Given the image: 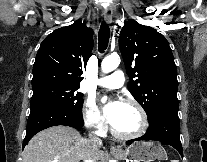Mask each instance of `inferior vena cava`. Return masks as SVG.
<instances>
[{
	"label": "inferior vena cava",
	"mask_w": 207,
	"mask_h": 162,
	"mask_svg": "<svg viewBox=\"0 0 207 162\" xmlns=\"http://www.w3.org/2000/svg\"><path fill=\"white\" fill-rule=\"evenodd\" d=\"M89 139L92 143V152H94V150L97 148V147H101L103 144H102V140L95 136V135H92V134H89ZM87 162H95L94 160H88Z\"/></svg>",
	"instance_id": "602c4592"
}]
</instances>
